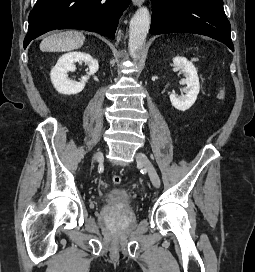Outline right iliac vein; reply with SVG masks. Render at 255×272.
Wrapping results in <instances>:
<instances>
[{
	"mask_svg": "<svg viewBox=\"0 0 255 272\" xmlns=\"http://www.w3.org/2000/svg\"><path fill=\"white\" fill-rule=\"evenodd\" d=\"M102 159H103V153L101 151H98L93 157V162L102 161Z\"/></svg>",
	"mask_w": 255,
	"mask_h": 272,
	"instance_id": "obj_1",
	"label": "right iliac vein"
}]
</instances>
